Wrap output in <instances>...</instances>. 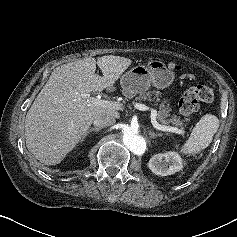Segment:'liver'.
I'll use <instances>...</instances> for the list:
<instances>
[{"label": "liver", "mask_w": 237, "mask_h": 237, "mask_svg": "<svg viewBox=\"0 0 237 237\" xmlns=\"http://www.w3.org/2000/svg\"><path fill=\"white\" fill-rule=\"evenodd\" d=\"M96 64L103 73H95ZM132 60L120 56L83 58L58 66L27 112L25 138L28 150L45 165H56L79 143L101 115L118 117L109 108L89 104L84 95L115 84Z\"/></svg>", "instance_id": "6515ba94"}]
</instances>
